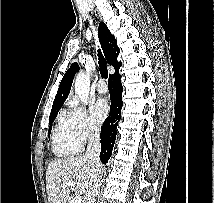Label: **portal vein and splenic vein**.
I'll use <instances>...</instances> for the list:
<instances>
[{"label": "portal vein and splenic vein", "instance_id": "1", "mask_svg": "<svg viewBox=\"0 0 214 203\" xmlns=\"http://www.w3.org/2000/svg\"><path fill=\"white\" fill-rule=\"evenodd\" d=\"M65 186H70V187H75V182L74 181H67V182H64L62 185H61V188H64ZM82 199L80 196H76L72 199L71 203H81Z\"/></svg>", "mask_w": 214, "mask_h": 203}]
</instances>
